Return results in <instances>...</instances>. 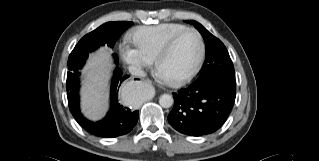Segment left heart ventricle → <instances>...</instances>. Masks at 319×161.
<instances>
[{
  "mask_svg": "<svg viewBox=\"0 0 319 161\" xmlns=\"http://www.w3.org/2000/svg\"><path fill=\"white\" fill-rule=\"evenodd\" d=\"M199 55L197 36L190 32L183 35L160 65V73L166 77H176L190 71Z\"/></svg>",
  "mask_w": 319,
  "mask_h": 161,
  "instance_id": "obj_1",
  "label": "left heart ventricle"
}]
</instances>
